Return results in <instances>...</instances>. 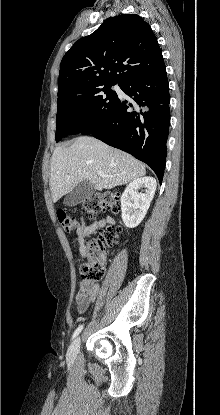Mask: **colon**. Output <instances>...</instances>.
I'll return each mask as SVG.
<instances>
[{
	"label": "colon",
	"instance_id": "colon-1",
	"mask_svg": "<svg viewBox=\"0 0 220 415\" xmlns=\"http://www.w3.org/2000/svg\"><path fill=\"white\" fill-rule=\"evenodd\" d=\"M82 209L90 216H97L106 211L117 213L120 210V196L114 192H98L82 201ZM60 225L67 232H74L78 228L76 219L64 210L57 211ZM119 228H108L97 237L86 238L84 242L86 261L81 266V276L85 282L95 283L102 279L105 272L103 254L114 244Z\"/></svg>",
	"mask_w": 220,
	"mask_h": 415
}]
</instances>
